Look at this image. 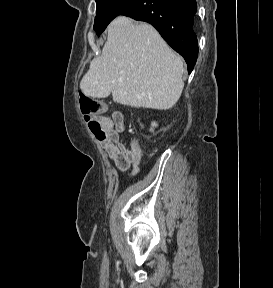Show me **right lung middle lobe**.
<instances>
[{
	"instance_id": "right-lung-middle-lobe-1",
	"label": "right lung middle lobe",
	"mask_w": 273,
	"mask_h": 288,
	"mask_svg": "<svg viewBox=\"0 0 273 288\" xmlns=\"http://www.w3.org/2000/svg\"><path fill=\"white\" fill-rule=\"evenodd\" d=\"M96 17L94 30L100 35L117 16L129 9L137 0H95Z\"/></svg>"
}]
</instances>
